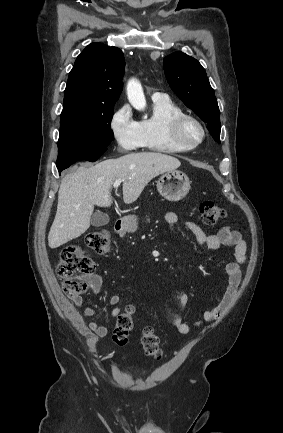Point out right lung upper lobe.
I'll list each match as a JSON object with an SVG mask.
<instances>
[{"label":"right lung upper lobe","mask_w":283,"mask_h":433,"mask_svg":"<svg viewBox=\"0 0 283 433\" xmlns=\"http://www.w3.org/2000/svg\"><path fill=\"white\" fill-rule=\"evenodd\" d=\"M124 65L119 48L97 42L88 45L69 73L63 109L84 104H115L122 91Z\"/></svg>","instance_id":"cb5924a9"}]
</instances>
